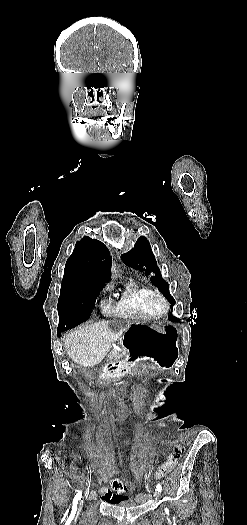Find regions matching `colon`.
Here are the masks:
<instances>
[{"label":"colon","instance_id":"5ec220e1","mask_svg":"<svg viewBox=\"0 0 247 525\" xmlns=\"http://www.w3.org/2000/svg\"><path fill=\"white\" fill-rule=\"evenodd\" d=\"M109 424H113V421H109ZM115 424H124V421H115Z\"/></svg>","mask_w":247,"mask_h":525}]
</instances>
